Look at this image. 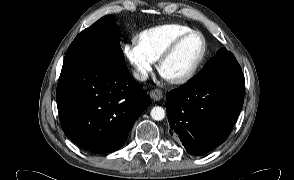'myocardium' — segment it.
Wrapping results in <instances>:
<instances>
[{
  "mask_svg": "<svg viewBox=\"0 0 294 180\" xmlns=\"http://www.w3.org/2000/svg\"><path fill=\"white\" fill-rule=\"evenodd\" d=\"M193 35H198L201 40H202V52L194 65L191 67V69L183 76L175 79H169V81L172 84L176 85H182L187 82H189L193 77L196 75L197 71L199 70L200 66L202 65L203 61L205 60L206 54H207V41L205 35L199 31V30H191L189 32H186L176 38L166 49L165 51L161 54L159 58V65L158 68L159 70L162 69V66L164 63L174 54V52L177 50V48L184 42L187 38L193 36Z\"/></svg>",
  "mask_w": 294,
  "mask_h": 180,
  "instance_id": "1",
  "label": "myocardium"
}]
</instances>
